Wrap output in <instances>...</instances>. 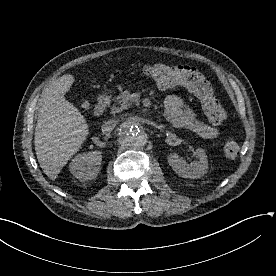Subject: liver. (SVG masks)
Wrapping results in <instances>:
<instances>
[{
  "instance_id": "6515ba94",
  "label": "liver",
  "mask_w": 276,
  "mask_h": 276,
  "mask_svg": "<svg viewBox=\"0 0 276 276\" xmlns=\"http://www.w3.org/2000/svg\"><path fill=\"white\" fill-rule=\"evenodd\" d=\"M74 82L65 74L46 88L39 101L35 151L43 172L55 180L86 140L88 124L81 112L65 99Z\"/></svg>"
}]
</instances>
